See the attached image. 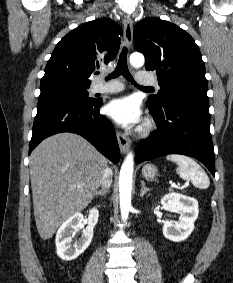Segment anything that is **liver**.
<instances>
[{"instance_id": "1", "label": "liver", "mask_w": 233, "mask_h": 283, "mask_svg": "<svg viewBox=\"0 0 233 283\" xmlns=\"http://www.w3.org/2000/svg\"><path fill=\"white\" fill-rule=\"evenodd\" d=\"M106 166V158L74 133L55 134L34 149L30 179L36 226L43 240L89 205Z\"/></svg>"}]
</instances>
